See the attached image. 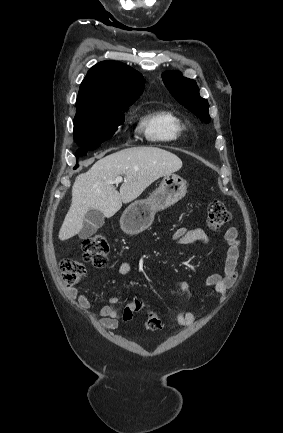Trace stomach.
<instances>
[{
	"label": "stomach",
	"instance_id": "obj_1",
	"mask_svg": "<svg viewBox=\"0 0 283 433\" xmlns=\"http://www.w3.org/2000/svg\"><path fill=\"white\" fill-rule=\"evenodd\" d=\"M187 192L185 178L178 174H164L159 188H156L148 198L135 200L125 208L122 217H124V231L128 235H137L144 225L153 221L154 214L157 210H163L171 204L178 202Z\"/></svg>",
	"mask_w": 283,
	"mask_h": 433
}]
</instances>
